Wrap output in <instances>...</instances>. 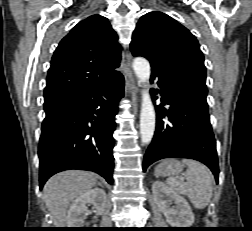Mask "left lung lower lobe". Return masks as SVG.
<instances>
[{
	"label": "left lung lower lobe",
	"mask_w": 252,
	"mask_h": 231,
	"mask_svg": "<svg viewBox=\"0 0 252 231\" xmlns=\"http://www.w3.org/2000/svg\"><path fill=\"white\" fill-rule=\"evenodd\" d=\"M162 103L156 106V131L144 156L143 171L163 158H190L207 165L218 183L216 141L210 124L207 87L201 80L176 72L154 71ZM168 105V109L164 108ZM168 117V121L162 118Z\"/></svg>",
	"instance_id": "obj_1"
}]
</instances>
